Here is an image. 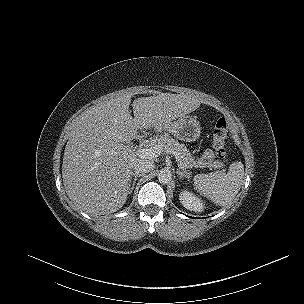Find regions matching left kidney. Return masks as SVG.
Instances as JSON below:
<instances>
[{"mask_svg": "<svg viewBox=\"0 0 304 304\" xmlns=\"http://www.w3.org/2000/svg\"><path fill=\"white\" fill-rule=\"evenodd\" d=\"M181 204L190 211L201 212L203 211L204 205L200 199L195 197L189 191H182L179 195Z\"/></svg>", "mask_w": 304, "mask_h": 304, "instance_id": "5707ae66", "label": "left kidney"}]
</instances>
